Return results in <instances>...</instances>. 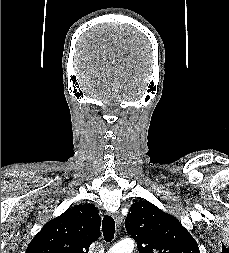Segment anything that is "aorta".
Wrapping results in <instances>:
<instances>
[{"label":"aorta","instance_id":"obj_1","mask_svg":"<svg viewBox=\"0 0 229 253\" xmlns=\"http://www.w3.org/2000/svg\"><path fill=\"white\" fill-rule=\"evenodd\" d=\"M134 246L133 240L124 239L112 246L108 253H132Z\"/></svg>","mask_w":229,"mask_h":253}]
</instances>
